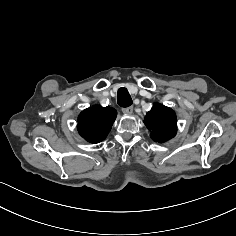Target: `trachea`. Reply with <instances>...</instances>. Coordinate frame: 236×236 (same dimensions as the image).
Wrapping results in <instances>:
<instances>
[{
	"label": "trachea",
	"mask_w": 236,
	"mask_h": 236,
	"mask_svg": "<svg viewBox=\"0 0 236 236\" xmlns=\"http://www.w3.org/2000/svg\"><path fill=\"white\" fill-rule=\"evenodd\" d=\"M117 102L121 107H129L132 104L131 96L126 88L122 87L118 90Z\"/></svg>",
	"instance_id": "1"
}]
</instances>
